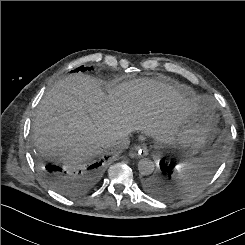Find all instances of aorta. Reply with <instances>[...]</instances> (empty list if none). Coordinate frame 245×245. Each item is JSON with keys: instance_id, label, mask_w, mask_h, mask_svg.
<instances>
[{"instance_id": "aorta-1", "label": "aorta", "mask_w": 245, "mask_h": 245, "mask_svg": "<svg viewBox=\"0 0 245 245\" xmlns=\"http://www.w3.org/2000/svg\"><path fill=\"white\" fill-rule=\"evenodd\" d=\"M138 171L144 176L151 175L154 171V163L148 158L141 159L138 162Z\"/></svg>"}]
</instances>
